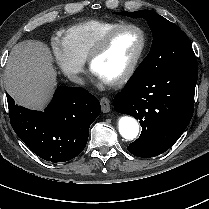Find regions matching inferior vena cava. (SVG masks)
I'll return each instance as SVG.
<instances>
[{"mask_svg":"<svg viewBox=\"0 0 209 209\" xmlns=\"http://www.w3.org/2000/svg\"><path fill=\"white\" fill-rule=\"evenodd\" d=\"M69 79H70L72 82L78 83V84H81V85H83V84L85 83L84 80H83L80 76L75 75V74L70 75V76H69Z\"/></svg>","mask_w":209,"mask_h":209,"instance_id":"1","label":"inferior vena cava"}]
</instances>
